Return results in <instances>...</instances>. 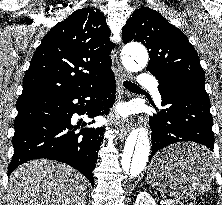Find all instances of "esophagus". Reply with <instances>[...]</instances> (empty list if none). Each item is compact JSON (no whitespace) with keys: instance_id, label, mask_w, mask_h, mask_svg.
Returning <instances> with one entry per match:
<instances>
[{"instance_id":"esophagus-1","label":"esophagus","mask_w":222,"mask_h":205,"mask_svg":"<svg viewBox=\"0 0 222 205\" xmlns=\"http://www.w3.org/2000/svg\"><path fill=\"white\" fill-rule=\"evenodd\" d=\"M119 72L116 75V82H117V87H118V91H119V100L122 99L124 97L125 90L123 87V81L124 80H128L130 78V74L128 72H126L121 66H119ZM130 130L129 124L125 123V122H121L118 125V133H119V139L122 141L124 140V138L127 136L128 132Z\"/></svg>"}]
</instances>
